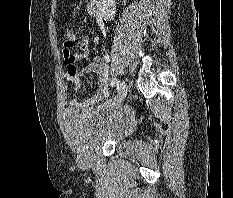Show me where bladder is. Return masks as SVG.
<instances>
[{"mask_svg":"<svg viewBox=\"0 0 233 198\" xmlns=\"http://www.w3.org/2000/svg\"><path fill=\"white\" fill-rule=\"evenodd\" d=\"M133 121L129 110L105 104L89 112L69 110L63 120L68 142L84 154L105 141L119 140Z\"/></svg>","mask_w":233,"mask_h":198,"instance_id":"obj_1","label":"bladder"}]
</instances>
